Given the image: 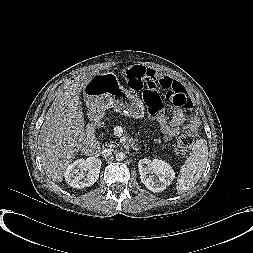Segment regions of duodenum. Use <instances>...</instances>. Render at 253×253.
<instances>
[{"mask_svg":"<svg viewBox=\"0 0 253 253\" xmlns=\"http://www.w3.org/2000/svg\"><path fill=\"white\" fill-rule=\"evenodd\" d=\"M102 118V112L99 110H95L92 112V121L94 124L98 123ZM84 152L87 155H93L97 152V145L94 140H89L83 148Z\"/></svg>","mask_w":253,"mask_h":253,"instance_id":"1","label":"duodenum"}]
</instances>
